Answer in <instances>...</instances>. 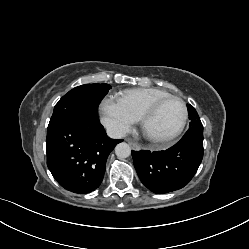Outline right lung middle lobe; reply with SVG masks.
I'll return each instance as SVG.
<instances>
[{
    "instance_id": "obj_1",
    "label": "right lung middle lobe",
    "mask_w": 249,
    "mask_h": 249,
    "mask_svg": "<svg viewBox=\"0 0 249 249\" xmlns=\"http://www.w3.org/2000/svg\"><path fill=\"white\" fill-rule=\"evenodd\" d=\"M110 88L108 84H86L70 90L55 105L48 130L77 118H98V105Z\"/></svg>"
}]
</instances>
